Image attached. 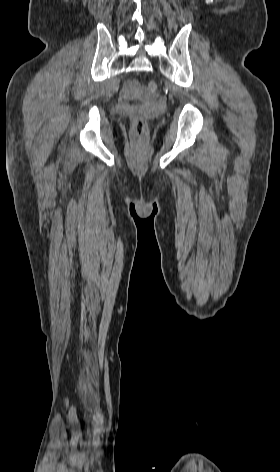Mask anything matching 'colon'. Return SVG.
<instances>
[{
	"label": "colon",
	"instance_id": "5ec220e1",
	"mask_svg": "<svg viewBox=\"0 0 280 472\" xmlns=\"http://www.w3.org/2000/svg\"><path fill=\"white\" fill-rule=\"evenodd\" d=\"M147 89L150 92H155L157 90L156 82L150 81L147 85ZM132 130L136 138L142 139L145 137L146 132H147V123L143 116L141 115L134 116Z\"/></svg>",
	"mask_w": 280,
	"mask_h": 472
}]
</instances>
